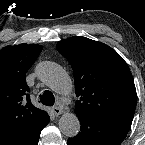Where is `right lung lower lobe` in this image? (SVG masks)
<instances>
[{"label": "right lung lower lobe", "mask_w": 145, "mask_h": 145, "mask_svg": "<svg viewBox=\"0 0 145 145\" xmlns=\"http://www.w3.org/2000/svg\"><path fill=\"white\" fill-rule=\"evenodd\" d=\"M49 121L50 118L47 115L42 121L33 126L24 128L2 145H38L40 133Z\"/></svg>", "instance_id": "1"}]
</instances>
